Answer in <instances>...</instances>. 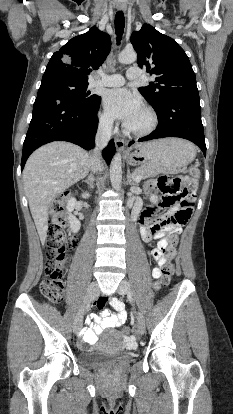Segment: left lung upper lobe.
Returning a JSON list of instances; mask_svg holds the SVG:
<instances>
[{"mask_svg": "<svg viewBox=\"0 0 233 414\" xmlns=\"http://www.w3.org/2000/svg\"><path fill=\"white\" fill-rule=\"evenodd\" d=\"M131 43L138 54L139 67L146 66L157 82L138 89L156 112L173 97L198 94L191 63L172 38L144 24L140 31L132 33Z\"/></svg>", "mask_w": 233, "mask_h": 414, "instance_id": "left-lung-upper-lobe-1", "label": "left lung upper lobe"}]
</instances>
